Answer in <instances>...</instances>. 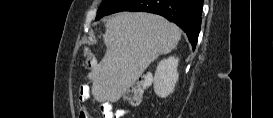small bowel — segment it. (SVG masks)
I'll return each instance as SVG.
<instances>
[{
	"label": "small bowel",
	"mask_w": 273,
	"mask_h": 118,
	"mask_svg": "<svg viewBox=\"0 0 273 118\" xmlns=\"http://www.w3.org/2000/svg\"><path fill=\"white\" fill-rule=\"evenodd\" d=\"M89 96H90L89 87L87 85L81 86L78 96L80 104L79 108L80 118H89V114L85 106V102L89 98ZM101 109L105 118H122L128 113V110L125 108H120L117 111L113 112L111 104L109 102L103 103Z\"/></svg>",
	"instance_id": "1"
}]
</instances>
